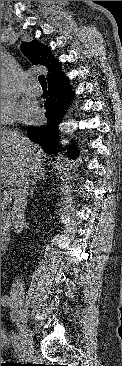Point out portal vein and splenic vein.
Returning a JSON list of instances; mask_svg holds the SVG:
<instances>
[{
	"label": "portal vein and splenic vein",
	"instance_id": "18ae733b",
	"mask_svg": "<svg viewBox=\"0 0 122 366\" xmlns=\"http://www.w3.org/2000/svg\"><path fill=\"white\" fill-rule=\"evenodd\" d=\"M1 196H2L5 200H7V201L11 200V197H10L9 192H8L7 190L2 191V192H1Z\"/></svg>",
	"mask_w": 122,
	"mask_h": 366
}]
</instances>
